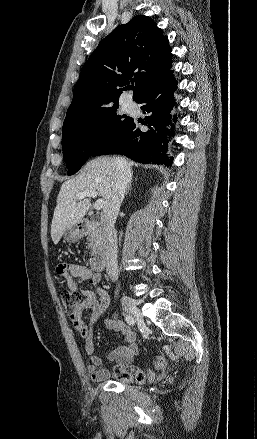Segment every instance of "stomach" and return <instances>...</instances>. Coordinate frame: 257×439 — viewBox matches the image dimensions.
I'll use <instances>...</instances> for the list:
<instances>
[{"label": "stomach", "instance_id": "0dacf381", "mask_svg": "<svg viewBox=\"0 0 257 439\" xmlns=\"http://www.w3.org/2000/svg\"><path fill=\"white\" fill-rule=\"evenodd\" d=\"M63 236L67 242H76L80 238L81 233H80V230L76 226H73L71 228H68L64 232Z\"/></svg>", "mask_w": 257, "mask_h": 439}]
</instances>
